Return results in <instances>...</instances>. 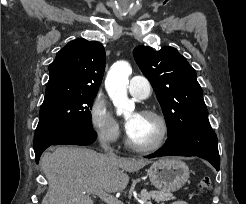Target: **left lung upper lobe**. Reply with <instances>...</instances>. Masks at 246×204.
Wrapping results in <instances>:
<instances>
[{
    "mask_svg": "<svg viewBox=\"0 0 246 204\" xmlns=\"http://www.w3.org/2000/svg\"><path fill=\"white\" fill-rule=\"evenodd\" d=\"M142 73L151 82L165 116L168 136L191 125L208 123V110L196 71L175 48L133 50Z\"/></svg>",
    "mask_w": 246,
    "mask_h": 204,
    "instance_id": "1",
    "label": "left lung upper lobe"
}]
</instances>
